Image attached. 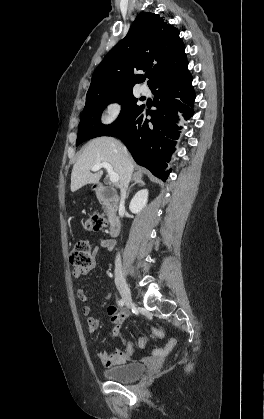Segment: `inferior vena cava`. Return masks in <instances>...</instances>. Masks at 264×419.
<instances>
[{"label": "inferior vena cava", "instance_id": "inferior-vena-cava-1", "mask_svg": "<svg viewBox=\"0 0 264 419\" xmlns=\"http://www.w3.org/2000/svg\"><path fill=\"white\" fill-rule=\"evenodd\" d=\"M130 178H131V165L126 160V181H125L124 187L121 188V200H120L121 206L124 204V200L126 198V191H127ZM115 267L117 270L121 269V258L119 254L117 255L116 260H115Z\"/></svg>", "mask_w": 264, "mask_h": 419}]
</instances>
